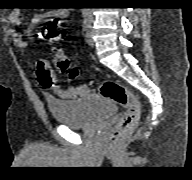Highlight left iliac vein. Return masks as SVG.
Masks as SVG:
<instances>
[{
  "mask_svg": "<svg viewBox=\"0 0 192 180\" xmlns=\"http://www.w3.org/2000/svg\"><path fill=\"white\" fill-rule=\"evenodd\" d=\"M85 40L90 46H94L95 42L92 38V32L90 30V27H88L86 33H85Z\"/></svg>",
  "mask_w": 192,
  "mask_h": 180,
  "instance_id": "obj_1",
  "label": "left iliac vein"
}]
</instances>
